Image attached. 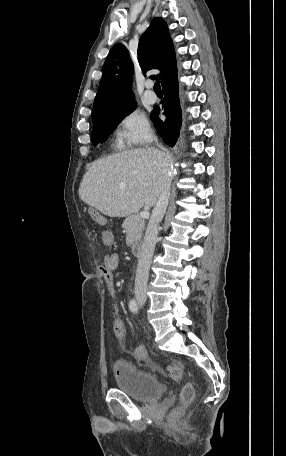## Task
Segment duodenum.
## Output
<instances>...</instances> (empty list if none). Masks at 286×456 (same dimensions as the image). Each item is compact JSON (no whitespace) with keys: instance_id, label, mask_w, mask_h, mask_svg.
Here are the masks:
<instances>
[{"instance_id":"obj_1","label":"duodenum","mask_w":286,"mask_h":456,"mask_svg":"<svg viewBox=\"0 0 286 456\" xmlns=\"http://www.w3.org/2000/svg\"><path fill=\"white\" fill-rule=\"evenodd\" d=\"M132 253L136 256L140 255L142 252V243L141 242H136L133 243L131 246Z\"/></svg>"}]
</instances>
